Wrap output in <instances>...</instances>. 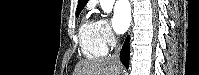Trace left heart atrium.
I'll list each match as a JSON object with an SVG mask.
<instances>
[{
	"label": "left heart atrium",
	"instance_id": "obj_1",
	"mask_svg": "<svg viewBox=\"0 0 199 75\" xmlns=\"http://www.w3.org/2000/svg\"><path fill=\"white\" fill-rule=\"evenodd\" d=\"M131 22V9L127 1H118L114 7V29L117 33H124Z\"/></svg>",
	"mask_w": 199,
	"mask_h": 75
}]
</instances>
